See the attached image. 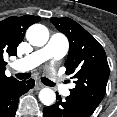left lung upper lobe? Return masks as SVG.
Returning <instances> with one entry per match:
<instances>
[{"label": "left lung upper lobe", "instance_id": "5c2ea615", "mask_svg": "<svg viewBox=\"0 0 117 117\" xmlns=\"http://www.w3.org/2000/svg\"><path fill=\"white\" fill-rule=\"evenodd\" d=\"M51 21L70 43L65 67L76 84L70 90V96L94 111L105 95L109 78L106 53L100 43L74 20L54 17Z\"/></svg>", "mask_w": 117, "mask_h": 117}]
</instances>
